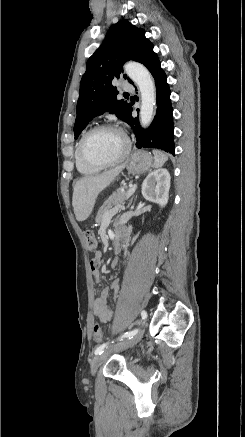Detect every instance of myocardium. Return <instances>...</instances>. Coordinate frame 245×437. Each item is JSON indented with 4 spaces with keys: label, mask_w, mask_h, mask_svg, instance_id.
Returning a JSON list of instances; mask_svg holds the SVG:
<instances>
[{
    "label": "myocardium",
    "mask_w": 245,
    "mask_h": 437,
    "mask_svg": "<svg viewBox=\"0 0 245 437\" xmlns=\"http://www.w3.org/2000/svg\"><path fill=\"white\" fill-rule=\"evenodd\" d=\"M103 130L118 131L119 133H121V135L123 136L124 141H125V148H124V151L122 152V154L119 157H117L116 159L111 160V161H106V162L93 160L92 158H90L87 155V153L85 151V143H86L87 139L92 134L99 132V131H103ZM130 150H131V142H130V139L128 138V136L124 133V131L120 127H118L114 124H110V123L99 124V125H96V126L90 128L88 131H86L83 134V136L81 137V139L79 141V153H80V156L83 159V161L90 166L97 167L100 169L112 167V166H115V165L121 163L122 161H124L128 157Z\"/></svg>",
    "instance_id": "obj_1"
}]
</instances>
